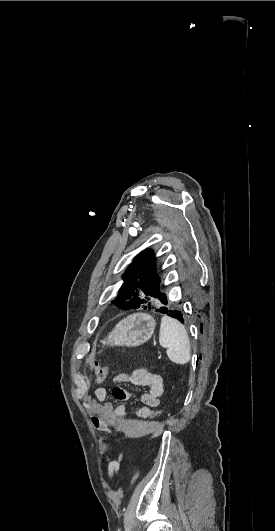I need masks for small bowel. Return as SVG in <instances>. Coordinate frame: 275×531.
<instances>
[{
	"label": "small bowel",
	"mask_w": 275,
	"mask_h": 531,
	"mask_svg": "<svg viewBox=\"0 0 275 531\" xmlns=\"http://www.w3.org/2000/svg\"><path fill=\"white\" fill-rule=\"evenodd\" d=\"M112 381L116 384H132L139 387H145L146 392L141 395L142 405L136 411V418L141 421L149 420L152 416L151 409L159 405L160 399L164 392V378L161 374L147 370L146 368L135 369L131 374L119 372L115 374ZM132 392H126L128 400L132 397ZM96 399L101 402L99 414L92 417L94 427L101 431L109 432L117 436L113 428L112 420H119L126 413V406L119 405L115 407L111 402H107L108 389L99 387L95 390ZM123 452L117 446L113 447V456L106 458L107 473L109 476L115 475L123 462Z\"/></svg>",
	"instance_id": "c3829d8e"
}]
</instances>
